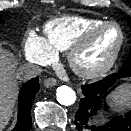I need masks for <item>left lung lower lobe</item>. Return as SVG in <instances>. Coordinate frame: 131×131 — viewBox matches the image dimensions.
<instances>
[{
    "label": "left lung lower lobe",
    "instance_id": "1",
    "mask_svg": "<svg viewBox=\"0 0 131 131\" xmlns=\"http://www.w3.org/2000/svg\"><path fill=\"white\" fill-rule=\"evenodd\" d=\"M131 77V67L120 69L103 80L81 86V99L74 124L78 131H131V110L122 116H99L102 111L100 96L120 78Z\"/></svg>",
    "mask_w": 131,
    "mask_h": 131
}]
</instances>
